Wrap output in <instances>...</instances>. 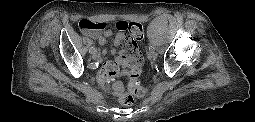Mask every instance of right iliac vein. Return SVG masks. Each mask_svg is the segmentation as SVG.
Masks as SVG:
<instances>
[{"label": "right iliac vein", "instance_id": "obj_1", "mask_svg": "<svg viewBox=\"0 0 255 122\" xmlns=\"http://www.w3.org/2000/svg\"><path fill=\"white\" fill-rule=\"evenodd\" d=\"M91 55H92V58L94 60L98 59L99 58V53L97 51V49H94L92 52H91Z\"/></svg>", "mask_w": 255, "mask_h": 122}]
</instances>
